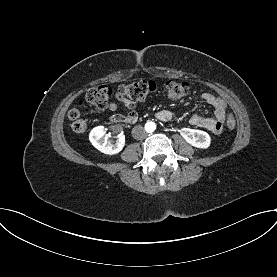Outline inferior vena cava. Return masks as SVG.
Segmentation results:
<instances>
[{
    "mask_svg": "<svg viewBox=\"0 0 277 277\" xmlns=\"http://www.w3.org/2000/svg\"><path fill=\"white\" fill-rule=\"evenodd\" d=\"M132 136L134 139L142 140L147 137V132L141 125H137L132 129Z\"/></svg>",
    "mask_w": 277,
    "mask_h": 277,
    "instance_id": "602c4592",
    "label": "inferior vena cava"
}]
</instances>
